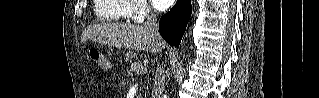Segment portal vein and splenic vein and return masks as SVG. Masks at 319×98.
Returning a JSON list of instances; mask_svg holds the SVG:
<instances>
[{"label": "portal vein and splenic vein", "mask_w": 319, "mask_h": 98, "mask_svg": "<svg viewBox=\"0 0 319 98\" xmlns=\"http://www.w3.org/2000/svg\"><path fill=\"white\" fill-rule=\"evenodd\" d=\"M131 70L132 71H138L139 70V65L138 64H136V63H133L132 65H131Z\"/></svg>", "instance_id": "obj_1"}]
</instances>
